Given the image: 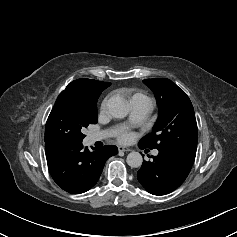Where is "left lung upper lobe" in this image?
<instances>
[{
	"mask_svg": "<svg viewBox=\"0 0 237 237\" xmlns=\"http://www.w3.org/2000/svg\"><path fill=\"white\" fill-rule=\"evenodd\" d=\"M143 82L155 94L159 117L153 131L139 144L159 151L196 154L197 123L189 97L166 78L145 79Z\"/></svg>",
	"mask_w": 237,
	"mask_h": 237,
	"instance_id": "5c2ea615",
	"label": "left lung upper lobe"
}]
</instances>
